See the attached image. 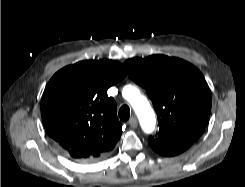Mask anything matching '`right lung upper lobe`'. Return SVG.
Returning a JSON list of instances; mask_svg holds the SVG:
<instances>
[{
  "label": "right lung upper lobe",
  "mask_w": 245,
  "mask_h": 187,
  "mask_svg": "<svg viewBox=\"0 0 245 187\" xmlns=\"http://www.w3.org/2000/svg\"><path fill=\"white\" fill-rule=\"evenodd\" d=\"M113 60H86L64 67L47 84L41 100L45 130L73 159L108 155L122 129L116 102L107 90L126 76Z\"/></svg>",
  "instance_id": "1"
}]
</instances>
